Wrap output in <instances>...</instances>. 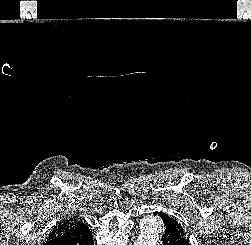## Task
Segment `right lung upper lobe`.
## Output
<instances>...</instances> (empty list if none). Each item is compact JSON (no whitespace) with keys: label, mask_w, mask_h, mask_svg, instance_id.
Returning a JSON list of instances; mask_svg holds the SVG:
<instances>
[{"label":"right lung upper lobe","mask_w":251,"mask_h":245,"mask_svg":"<svg viewBox=\"0 0 251 245\" xmlns=\"http://www.w3.org/2000/svg\"><path fill=\"white\" fill-rule=\"evenodd\" d=\"M88 226L81 221L74 218H69L60 222L49 234V237H55L60 235H66L73 232H80L86 229Z\"/></svg>","instance_id":"cb5924a9"}]
</instances>
